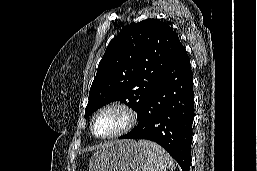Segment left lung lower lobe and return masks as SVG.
Returning <instances> with one entry per match:
<instances>
[{
	"mask_svg": "<svg viewBox=\"0 0 257 171\" xmlns=\"http://www.w3.org/2000/svg\"><path fill=\"white\" fill-rule=\"evenodd\" d=\"M193 74L184 47L166 67L139 116L138 125L119 139H147L161 145L189 171L194 117Z\"/></svg>",
	"mask_w": 257,
	"mask_h": 171,
	"instance_id": "obj_1",
	"label": "left lung lower lobe"
}]
</instances>
